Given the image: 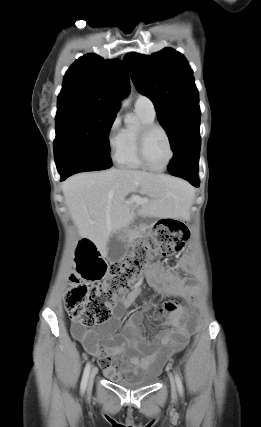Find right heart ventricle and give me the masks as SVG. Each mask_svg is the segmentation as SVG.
I'll return each mask as SVG.
<instances>
[{
    "label": "right heart ventricle",
    "instance_id": "e07e8e85",
    "mask_svg": "<svg viewBox=\"0 0 261 427\" xmlns=\"http://www.w3.org/2000/svg\"><path fill=\"white\" fill-rule=\"evenodd\" d=\"M139 118L138 126H126L121 131L120 144L114 154L116 163L126 169L140 170L146 167L140 162L137 154L138 129L146 124L154 123V117H150L140 110H135Z\"/></svg>",
    "mask_w": 261,
    "mask_h": 427
}]
</instances>
